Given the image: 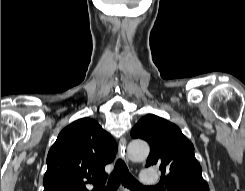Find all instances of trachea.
<instances>
[{
	"label": "trachea",
	"instance_id": "3493384b",
	"mask_svg": "<svg viewBox=\"0 0 245 191\" xmlns=\"http://www.w3.org/2000/svg\"><path fill=\"white\" fill-rule=\"evenodd\" d=\"M120 182L127 188L135 191L154 188L141 185L139 181H137L131 175L125 162L121 159H118L115 164V168L109 177L107 191H117Z\"/></svg>",
	"mask_w": 245,
	"mask_h": 191
}]
</instances>
